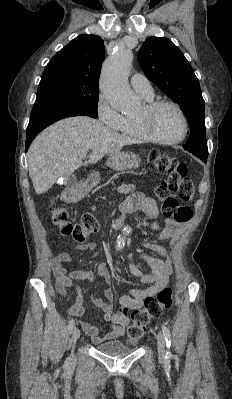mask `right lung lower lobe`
Instances as JSON below:
<instances>
[{
    "label": "right lung lower lobe",
    "instance_id": "right-lung-lower-lobe-1",
    "mask_svg": "<svg viewBox=\"0 0 232 399\" xmlns=\"http://www.w3.org/2000/svg\"><path fill=\"white\" fill-rule=\"evenodd\" d=\"M73 116H90L96 118L97 113L95 114L78 104L52 96L37 95L26 130V151L33 139L44 128L60 119Z\"/></svg>",
    "mask_w": 232,
    "mask_h": 399
}]
</instances>
